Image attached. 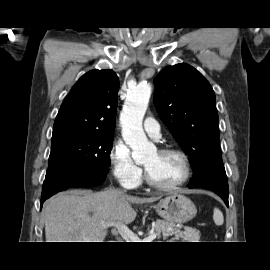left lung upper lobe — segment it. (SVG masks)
I'll return each mask as SVG.
<instances>
[{
    "mask_svg": "<svg viewBox=\"0 0 270 270\" xmlns=\"http://www.w3.org/2000/svg\"><path fill=\"white\" fill-rule=\"evenodd\" d=\"M154 83L157 112L189 155L192 181L212 168H224L215 94L209 82L195 68L181 63L167 66Z\"/></svg>",
    "mask_w": 270,
    "mask_h": 270,
    "instance_id": "left-lung-upper-lobe-1",
    "label": "left lung upper lobe"
}]
</instances>
